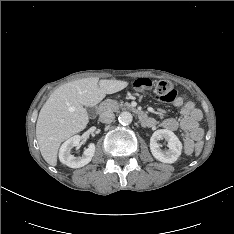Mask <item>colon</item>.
I'll return each instance as SVG.
<instances>
[{
  "instance_id": "colon-1",
  "label": "colon",
  "mask_w": 234,
  "mask_h": 234,
  "mask_svg": "<svg viewBox=\"0 0 234 234\" xmlns=\"http://www.w3.org/2000/svg\"><path fill=\"white\" fill-rule=\"evenodd\" d=\"M152 86V82L148 78H139L135 81L134 83V88L137 91L145 92L149 90ZM155 95L163 100V101H171L176 97V91L174 90L172 84L167 81H160L156 84L155 89H154ZM202 146L200 143H196L193 146V149L196 152H199L201 150Z\"/></svg>"
}]
</instances>
